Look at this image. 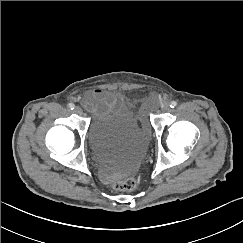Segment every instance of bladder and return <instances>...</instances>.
<instances>
[{"mask_svg":"<svg viewBox=\"0 0 243 243\" xmlns=\"http://www.w3.org/2000/svg\"><path fill=\"white\" fill-rule=\"evenodd\" d=\"M87 136L94 153L110 159L118 175L135 172L149 139L127 103L97 112L90 121Z\"/></svg>","mask_w":243,"mask_h":243,"instance_id":"obj_1","label":"bladder"}]
</instances>
